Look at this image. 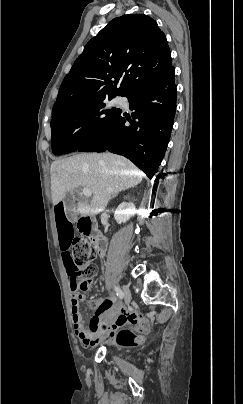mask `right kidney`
<instances>
[{
  "instance_id": "obj_1",
  "label": "right kidney",
  "mask_w": 243,
  "mask_h": 404,
  "mask_svg": "<svg viewBox=\"0 0 243 404\" xmlns=\"http://www.w3.org/2000/svg\"><path fill=\"white\" fill-rule=\"evenodd\" d=\"M127 208L128 204H120V206H118L114 214V218L117 224H122V222H127V220H130L132 214H127Z\"/></svg>"
}]
</instances>
